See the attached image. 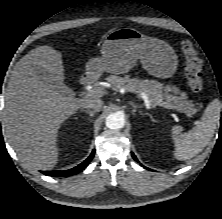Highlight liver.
Listing matches in <instances>:
<instances>
[{
	"mask_svg": "<svg viewBox=\"0 0 222 219\" xmlns=\"http://www.w3.org/2000/svg\"><path fill=\"white\" fill-rule=\"evenodd\" d=\"M35 68L64 80L62 53L39 46L14 66L8 82L3 125L19 160L39 170L53 168L58 161L57 133L62 123L92 98L63 96L43 83Z\"/></svg>",
	"mask_w": 222,
	"mask_h": 219,
	"instance_id": "obj_1",
	"label": "liver"
}]
</instances>
